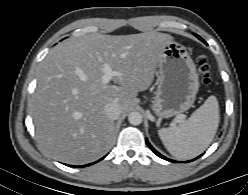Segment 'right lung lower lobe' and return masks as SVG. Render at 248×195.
Wrapping results in <instances>:
<instances>
[{
	"label": "right lung lower lobe",
	"instance_id": "obj_1",
	"mask_svg": "<svg viewBox=\"0 0 248 195\" xmlns=\"http://www.w3.org/2000/svg\"><path fill=\"white\" fill-rule=\"evenodd\" d=\"M94 164V163H92ZM92 164H87V165H83V166H79V167H86V166H89V165H92Z\"/></svg>",
	"mask_w": 248,
	"mask_h": 195
}]
</instances>
